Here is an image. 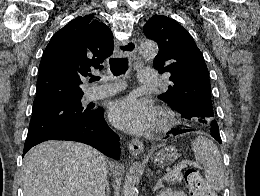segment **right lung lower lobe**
<instances>
[{
	"mask_svg": "<svg viewBox=\"0 0 260 196\" xmlns=\"http://www.w3.org/2000/svg\"><path fill=\"white\" fill-rule=\"evenodd\" d=\"M47 140L82 142L93 146L111 158H120L119 137L106 124L103 117L102 108L95 110L93 116L83 123L67 128L45 132L26 139L23 156L30 148Z\"/></svg>",
	"mask_w": 260,
	"mask_h": 196,
	"instance_id": "right-lung-lower-lobe-1",
	"label": "right lung lower lobe"
}]
</instances>
